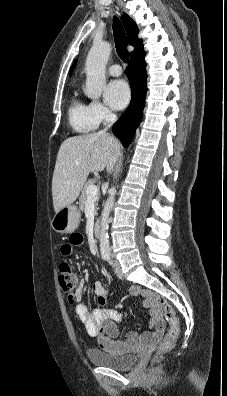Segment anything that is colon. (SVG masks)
Segmentation results:
<instances>
[{"instance_id":"colon-1","label":"colon","mask_w":227,"mask_h":396,"mask_svg":"<svg viewBox=\"0 0 227 396\" xmlns=\"http://www.w3.org/2000/svg\"><path fill=\"white\" fill-rule=\"evenodd\" d=\"M58 280L63 293L67 296L70 302H74L78 284L75 272L69 263L62 262L59 265ZM150 298L163 312L165 319L169 323V330L161 340L158 347L159 352H167L173 347L176 339L178 338L180 332L179 319L173 307L165 298L155 293H151Z\"/></svg>"}]
</instances>
